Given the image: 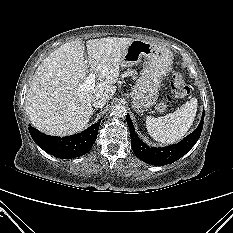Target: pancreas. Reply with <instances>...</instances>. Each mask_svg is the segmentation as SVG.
I'll use <instances>...</instances> for the list:
<instances>
[{
    "label": "pancreas",
    "instance_id": "obj_1",
    "mask_svg": "<svg viewBox=\"0 0 233 233\" xmlns=\"http://www.w3.org/2000/svg\"><path fill=\"white\" fill-rule=\"evenodd\" d=\"M136 75H137V72L131 69H128L124 74V76H132V77H136Z\"/></svg>",
    "mask_w": 233,
    "mask_h": 233
}]
</instances>
